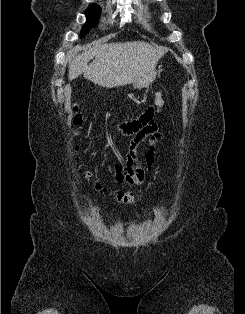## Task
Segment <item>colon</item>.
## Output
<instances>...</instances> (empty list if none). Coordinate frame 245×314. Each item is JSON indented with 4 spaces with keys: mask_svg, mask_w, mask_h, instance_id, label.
Instances as JSON below:
<instances>
[{
    "mask_svg": "<svg viewBox=\"0 0 245 314\" xmlns=\"http://www.w3.org/2000/svg\"><path fill=\"white\" fill-rule=\"evenodd\" d=\"M77 108H75L76 110ZM82 122V117L80 114L76 113L73 118V123L75 125H79ZM83 176L87 181H91L92 177L91 174L88 171H83ZM95 188L99 192L105 193L113 197L115 200H117L120 203L124 204H132L135 202V197L132 193L126 192V191H108L105 187H103L100 183H95Z\"/></svg>",
    "mask_w": 245,
    "mask_h": 314,
    "instance_id": "colon-1",
    "label": "colon"
}]
</instances>
